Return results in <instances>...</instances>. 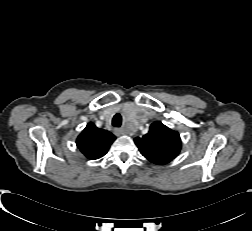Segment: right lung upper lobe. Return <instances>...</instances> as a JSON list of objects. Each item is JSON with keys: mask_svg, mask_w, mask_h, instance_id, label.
<instances>
[{"mask_svg": "<svg viewBox=\"0 0 252 231\" xmlns=\"http://www.w3.org/2000/svg\"><path fill=\"white\" fill-rule=\"evenodd\" d=\"M115 139L116 137L109 131L89 123L78 136L76 144L87 158L98 159L107 153Z\"/></svg>", "mask_w": 252, "mask_h": 231, "instance_id": "1", "label": "right lung upper lobe"}]
</instances>
